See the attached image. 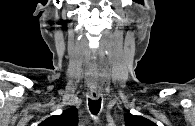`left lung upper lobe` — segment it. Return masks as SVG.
Here are the masks:
<instances>
[{
	"instance_id": "obj_1",
	"label": "left lung upper lobe",
	"mask_w": 195,
	"mask_h": 126,
	"mask_svg": "<svg viewBox=\"0 0 195 126\" xmlns=\"http://www.w3.org/2000/svg\"><path fill=\"white\" fill-rule=\"evenodd\" d=\"M124 118L126 126H156L152 121L130 113H127Z\"/></svg>"
}]
</instances>
